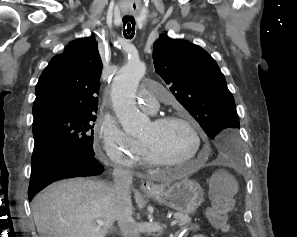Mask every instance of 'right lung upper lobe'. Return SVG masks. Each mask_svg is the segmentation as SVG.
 I'll use <instances>...</instances> for the list:
<instances>
[{
    "mask_svg": "<svg viewBox=\"0 0 297 237\" xmlns=\"http://www.w3.org/2000/svg\"><path fill=\"white\" fill-rule=\"evenodd\" d=\"M102 62L92 37L78 39L52 58L36 85L33 122L58 113H96Z\"/></svg>",
    "mask_w": 297,
    "mask_h": 237,
    "instance_id": "right-lung-upper-lobe-1",
    "label": "right lung upper lobe"
}]
</instances>
